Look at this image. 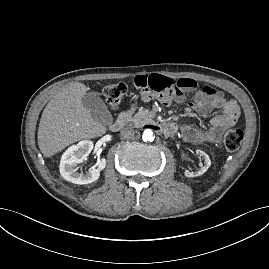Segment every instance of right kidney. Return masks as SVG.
I'll list each match as a JSON object with an SVG mask.
<instances>
[{"mask_svg": "<svg viewBox=\"0 0 269 269\" xmlns=\"http://www.w3.org/2000/svg\"><path fill=\"white\" fill-rule=\"evenodd\" d=\"M93 149V142L90 140L80 141L78 144L69 147L62 155L60 162L61 176L75 184H89L96 181L106 166V159L102 158L97 163V168H93L88 172L80 173L77 171V164L87 159Z\"/></svg>", "mask_w": 269, "mask_h": 269, "instance_id": "ca27d5eb", "label": "right kidney"}]
</instances>
